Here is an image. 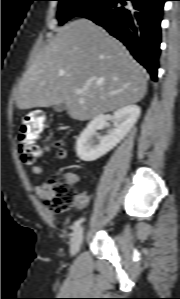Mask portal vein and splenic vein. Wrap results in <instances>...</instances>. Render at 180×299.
Returning <instances> with one entry per match:
<instances>
[{
  "label": "portal vein and splenic vein",
  "mask_w": 180,
  "mask_h": 299,
  "mask_svg": "<svg viewBox=\"0 0 180 299\" xmlns=\"http://www.w3.org/2000/svg\"><path fill=\"white\" fill-rule=\"evenodd\" d=\"M86 90H87L86 88H79V89L75 90V93L76 94H84L86 92ZM109 94L110 95H114L115 93L114 92H110Z\"/></svg>",
  "instance_id": "1"
}]
</instances>
